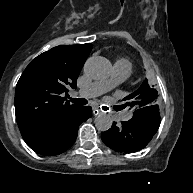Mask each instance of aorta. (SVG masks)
Listing matches in <instances>:
<instances>
[{"mask_svg": "<svg viewBox=\"0 0 193 193\" xmlns=\"http://www.w3.org/2000/svg\"><path fill=\"white\" fill-rule=\"evenodd\" d=\"M110 70L109 62L104 58H91L87 60L85 64V72L93 79H104L108 76ZM112 119L111 117L106 114L102 113L99 114L94 119V124L97 130L99 131H107L112 126Z\"/></svg>", "mask_w": 193, "mask_h": 193, "instance_id": "aorta-1", "label": "aorta"}]
</instances>
